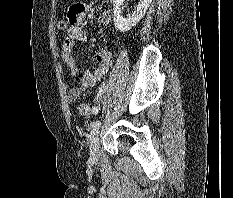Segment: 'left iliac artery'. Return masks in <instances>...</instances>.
<instances>
[{
  "label": "left iliac artery",
  "mask_w": 233,
  "mask_h": 198,
  "mask_svg": "<svg viewBox=\"0 0 233 198\" xmlns=\"http://www.w3.org/2000/svg\"><path fill=\"white\" fill-rule=\"evenodd\" d=\"M103 89H104V86H102V87L100 88V92H102ZM100 124H101L100 121H95V122H93V123L91 124L92 131H95L96 129H98L99 126H100Z\"/></svg>",
  "instance_id": "44dca946"
}]
</instances>
